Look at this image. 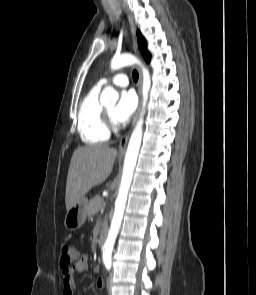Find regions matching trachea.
<instances>
[{
  "label": "trachea",
  "instance_id": "1",
  "mask_svg": "<svg viewBox=\"0 0 256 295\" xmlns=\"http://www.w3.org/2000/svg\"><path fill=\"white\" fill-rule=\"evenodd\" d=\"M132 76H133V80L135 82H137L138 78H139V75H138V72L136 70L133 71Z\"/></svg>",
  "mask_w": 256,
  "mask_h": 295
}]
</instances>
